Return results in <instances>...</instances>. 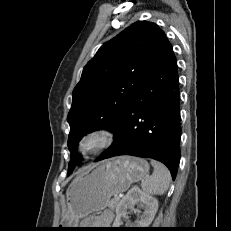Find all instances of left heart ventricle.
<instances>
[{
  "instance_id": "obj_1",
  "label": "left heart ventricle",
  "mask_w": 231,
  "mask_h": 231,
  "mask_svg": "<svg viewBox=\"0 0 231 231\" xmlns=\"http://www.w3.org/2000/svg\"><path fill=\"white\" fill-rule=\"evenodd\" d=\"M97 142L95 140H88L84 143L85 149H92L96 146Z\"/></svg>"
}]
</instances>
